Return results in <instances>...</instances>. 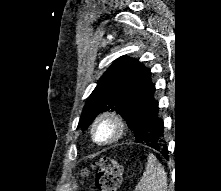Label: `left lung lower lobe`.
<instances>
[{"label":"left lung lower lobe","mask_w":221,"mask_h":191,"mask_svg":"<svg viewBox=\"0 0 221 191\" xmlns=\"http://www.w3.org/2000/svg\"><path fill=\"white\" fill-rule=\"evenodd\" d=\"M155 85L151 81V72L140 63L132 86L131 109L134 131L139 138L149 143L168 158L164 140V123L159 117L158 102L154 99Z\"/></svg>","instance_id":"left-lung-lower-lobe-1"}]
</instances>
